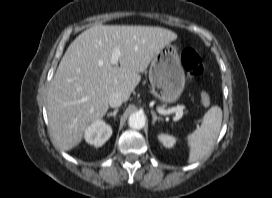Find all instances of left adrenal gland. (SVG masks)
Here are the masks:
<instances>
[{"instance_id":"a2214340","label":"left adrenal gland","mask_w":272,"mask_h":198,"mask_svg":"<svg viewBox=\"0 0 272 198\" xmlns=\"http://www.w3.org/2000/svg\"><path fill=\"white\" fill-rule=\"evenodd\" d=\"M151 114H152V117H153V120H152L153 125H155L156 121H162V118L158 117L153 110H151Z\"/></svg>"}]
</instances>
